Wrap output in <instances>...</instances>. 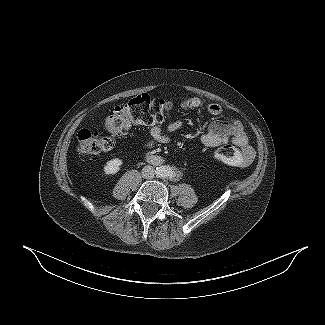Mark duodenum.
Instances as JSON below:
<instances>
[{
  "label": "duodenum",
  "instance_id": "duodenum-1",
  "mask_svg": "<svg viewBox=\"0 0 325 325\" xmlns=\"http://www.w3.org/2000/svg\"><path fill=\"white\" fill-rule=\"evenodd\" d=\"M148 161L153 165H161L164 163V159L157 155H149L147 156Z\"/></svg>",
  "mask_w": 325,
  "mask_h": 325
}]
</instances>
